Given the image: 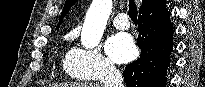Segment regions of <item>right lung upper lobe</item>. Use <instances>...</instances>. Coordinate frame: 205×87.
<instances>
[{
	"instance_id": "cb5924a9",
	"label": "right lung upper lobe",
	"mask_w": 205,
	"mask_h": 87,
	"mask_svg": "<svg viewBox=\"0 0 205 87\" xmlns=\"http://www.w3.org/2000/svg\"><path fill=\"white\" fill-rule=\"evenodd\" d=\"M77 0H66L65 1V5L63 8V12L61 14L60 20H59V24L57 26V29L59 28L64 16L66 15V13L69 11V9L71 8L72 5H74L76 3ZM156 0H143V3L139 9V11H141L142 9L148 7L150 4H152L153 2H155Z\"/></svg>"
}]
</instances>
